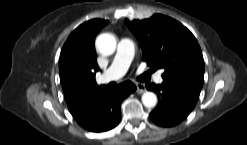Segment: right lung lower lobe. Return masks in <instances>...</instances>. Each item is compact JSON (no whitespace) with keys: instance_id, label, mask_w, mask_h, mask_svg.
<instances>
[{"instance_id":"right-lung-lower-lobe-1","label":"right lung lower lobe","mask_w":247,"mask_h":145,"mask_svg":"<svg viewBox=\"0 0 247 145\" xmlns=\"http://www.w3.org/2000/svg\"><path fill=\"white\" fill-rule=\"evenodd\" d=\"M135 90L136 86L130 81L114 89L102 87L69 110L74 119L88 131H108L120 121L121 102Z\"/></svg>"}]
</instances>
